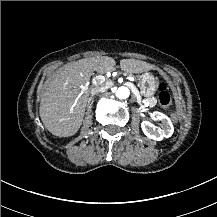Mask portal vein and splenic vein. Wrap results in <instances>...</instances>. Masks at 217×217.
<instances>
[{"mask_svg":"<svg viewBox=\"0 0 217 217\" xmlns=\"http://www.w3.org/2000/svg\"><path fill=\"white\" fill-rule=\"evenodd\" d=\"M129 80H130V79H129ZM79 97H80V95L78 96V98H79ZM78 98H77V99H78ZM77 99H76V101H77Z\"/></svg>","mask_w":217,"mask_h":217,"instance_id":"portal-vein-and-splenic-vein-1","label":"portal vein and splenic vein"}]
</instances>
